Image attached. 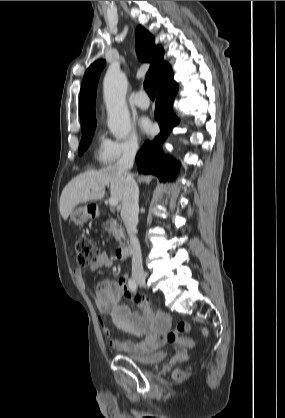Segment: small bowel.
<instances>
[{
  "label": "small bowel",
  "instance_id": "small-bowel-1",
  "mask_svg": "<svg viewBox=\"0 0 285 418\" xmlns=\"http://www.w3.org/2000/svg\"><path fill=\"white\" fill-rule=\"evenodd\" d=\"M113 264V260L106 253H101L97 261L90 265V270L93 271L102 267L110 268ZM76 277L82 282L85 280L81 269L76 271ZM128 282L127 275H124L118 283L102 281L97 285L92 296L100 313L99 323L106 336H110L111 331L103 316H109L112 323L126 333L134 335L153 334L148 341L141 343L113 339L110 341V345L115 350L126 352L157 350L166 344V336L171 328L172 320L167 314L153 315L149 307H146V316L133 311L125 301L135 299ZM189 340L190 344L186 346L193 348L194 342L191 339Z\"/></svg>",
  "mask_w": 285,
  "mask_h": 418
}]
</instances>
